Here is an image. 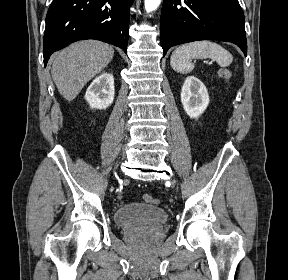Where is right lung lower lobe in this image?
I'll return each instance as SVG.
<instances>
[{"instance_id": "obj_1", "label": "right lung lower lobe", "mask_w": 288, "mask_h": 280, "mask_svg": "<svg viewBox=\"0 0 288 280\" xmlns=\"http://www.w3.org/2000/svg\"><path fill=\"white\" fill-rule=\"evenodd\" d=\"M134 0H53L43 39L45 66L50 56L72 42L97 39L127 52L129 9Z\"/></svg>"}]
</instances>
